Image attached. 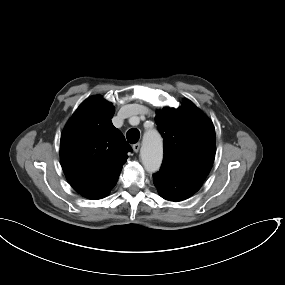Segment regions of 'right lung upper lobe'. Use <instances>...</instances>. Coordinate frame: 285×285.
I'll use <instances>...</instances> for the list:
<instances>
[{"mask_svg":"<svg viewBox=\"0 0 285 285\" xmlns=\"http://www.w3.org/2000/svg\"><path fill=\"white\" fill-rule=\"evenodd\" d=\"M115 108L100 96L86 99L66 124L60 161L70 185L89 199L105 197L132 149L112 124Z\"/></svg>","mask_w":285,"mask_h":285,"instance_id":"right-lung-upper-lobe-1","label":"right lung upper lobe"}]
</instances>
